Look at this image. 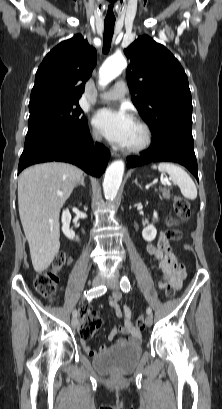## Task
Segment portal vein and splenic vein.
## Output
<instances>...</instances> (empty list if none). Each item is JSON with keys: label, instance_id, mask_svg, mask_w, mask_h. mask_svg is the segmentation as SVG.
I'll use <instances>...</instances> for the list:
<instances>
[{"label": "portal vein and splenic vein", "instance_id": "1", "mask_svg": "<svg viewBox=\"0 0 222 409\" xmlns=\"http://www.w3.org/2000/svg\"><path fill=\"white\" fill-rule=\"evenodd\" d=\"M162 183H163V184L170 185V182H169V180H168V179H164V180H162Z\"/></svg>", "mask_w": 222, "mask_h": 409}]
</instances>
